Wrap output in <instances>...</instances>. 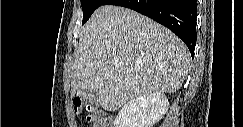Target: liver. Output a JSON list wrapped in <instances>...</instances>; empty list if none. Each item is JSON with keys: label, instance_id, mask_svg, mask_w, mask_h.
<instances>
[{"label": "liver", "instance_id": "1", "mask_svg": "<svg viewBox=\"0 0 243 127\" xmlns=\"http://www.w3.org/2000/svg\"><path fill=\"white\" fill-rule=\"evenodd\" d=\"M189 65L187 46L169 29L133 10L101 6L80 35L71 95L94 91L102 108L115 111L138 96L176 92Z\"/></svg>", "mask_w": 243, "mask_h": 127}]
</instances>
